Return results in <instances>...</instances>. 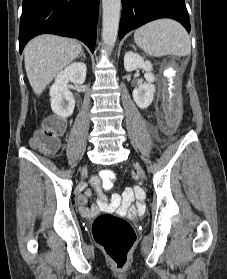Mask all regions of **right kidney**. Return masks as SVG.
<instances>
[{
  "label": "right kidney",
  "instance_id": "ca27d5eb",
  "mask_svg": "<svg viewBox=\"0 0 227 279\" xmlns=\"http://www.w3.org/2000/svg\"><path fill=\"white\" fill-rule=\"evenodd\" d=\"M86 71L87 68L84 63L74 62L57 74L55 82L50 88L51 109L55 114L63 118L72 115L75 100L67 85L70 81L75 84L84 83Z\"/></svg>",
  "mask_w": 227,
  "mask_h": 279
}]
</instances>
